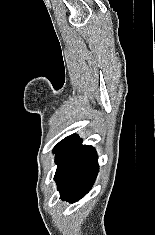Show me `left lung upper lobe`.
<instances>
[{
  "mask_svg": "<svg viewBox=\"0 0 155 235\" xmlns=\"http://www.w3.org/2000/svg\"><path fill=\"white\" fill-rule=\"evenodd\" d=\"M65 139H66V138H65ZM65 139H63L61 142H59V143L54 147L53 151H54Z\"/></svg>",
  "mask_w": 155,
  "mask_h": 235,
  "instance_id": "1",
  "label": "left lung upper lobe"
}]
</instances>
